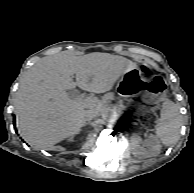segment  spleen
<instances>
[{
    "mask_svg": "<svg viewBox=\"0 0 194 193\" xmlns=\"http://www.w3.org/2000/svg\"><path fill=\"white\" fill-rule=\"evenodd\" d=\"M160 115L156 134L165 146H171L177 142L182 124L179 106L170 100H165L162 103Z\"/></svg>",
    "mask_w": 194,
    "mask_h": 193,
    "instance_id": "1",
    "label": "spleen"
}]
</instances>
